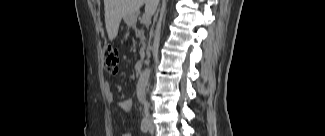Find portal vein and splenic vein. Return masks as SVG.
<instances>
[{
	"instance_id": "1",
	"label": "portal vein and splenic vein",
	"mask_w": 325,
	"mask_h": 136,
	"mask_svg": "<svg viewBox=\"0 0 325 136\" xmlns=\"http://www.w3.org/2000/svg\"><path fill=\"white\" fill-rule=\"evenodd\" d=\"M150 21H151L150 14L149 13L144 14L142 17V23L149 24Z\"/></svg>"
}]
</instances>
